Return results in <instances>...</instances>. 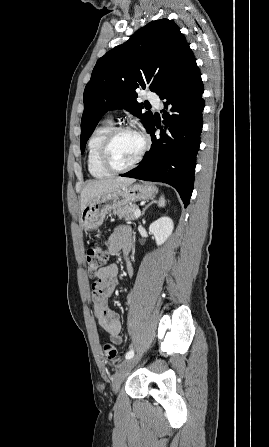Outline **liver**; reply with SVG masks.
<instances>
[{"label":"liver","mask_w":269,"mask_h":447,"mask_svg":"<svg viewBox=\"0 0 269 447\" xmlns=\"http://www.w3.org/2000/svg\"><path fill=\"white\" fill-rule=\"evenodd\" d=\"M135 180L133 178H117V180H111V178H105V180H88L85 188L81 192V210H84L86 204L90 200H94L97 196L102 194H108L112 190H119L122 186H130Z\"/></svg>","instance_id":"6515ba94"}]
</instances>
